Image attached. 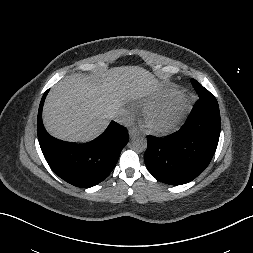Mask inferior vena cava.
Masks as SVG:
<instances>
[{"label":"inferior vena cava","mask_w":253,"mask_h":253,"mask_svg":"<svg viewBox=\"0 0 253 253\" xmlns=\"http://www.w3.org/2000/svg\"><path fill=\"white\" fill-rule=\"evenodd\" d=\"M113 120L120 124H128L129 119L122 112H116L112 116Z\"/></svg>","instance_id":"1"}]
</instances>
